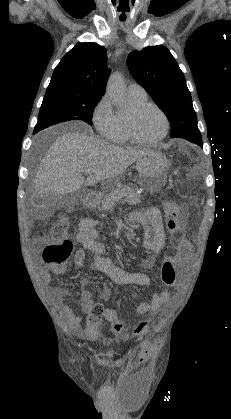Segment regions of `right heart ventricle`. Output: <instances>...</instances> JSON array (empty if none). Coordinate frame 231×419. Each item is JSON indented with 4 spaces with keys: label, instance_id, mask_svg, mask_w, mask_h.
<instances>
[{
    "label": "right heart ventricle",
    "instance_id": "right-heart-ventricle-1",
    "mask_svg": "<svg viewBox=\"0 0 231 419\" xmlns=\"http://www.w3.org/2000/svg\"><path fill=\"white\" fill-rule=\"evenodd\" d=\"M128 98L132 108L144 104L147 102V97H140L136 95H132L128 93ZM128 115L129 113L119 112L118 116V123H119V132L114 140L117 143H126L131 141V137L128 131Z\"/></svg>",
    "mask_w": 231,
    "mask_h": 419
}]
</instances>
